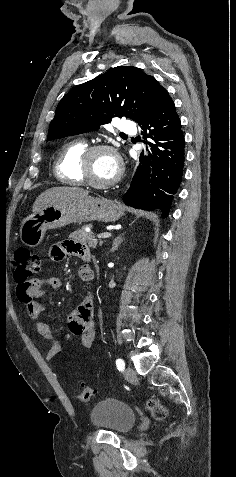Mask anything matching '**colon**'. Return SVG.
<instances>
[{
  "label": "colon",
  "mask_w": 236,
  "mask_h": 477,
  "mask_svg": "<svg viewBox=\"0 0 236 477\" xmlns=\"http://www.w3.org/2000/svg\"><path fill=\"white\" fill-rule=\"evenodd\" d=\"M14 279L17 284L18 293L32 289V278L40 271L41 261L28 247H19L14 254ZM94 394L91 387L81 385L77 397L83 402L89 401ZM149 410L157 419L165 417L167 410L157 400L147 402Z\"/></svg>",
  "instance_id": "colon-1"
}]
</instances>
